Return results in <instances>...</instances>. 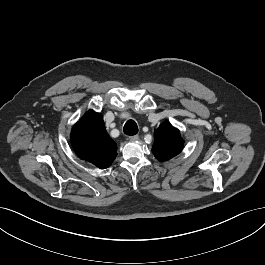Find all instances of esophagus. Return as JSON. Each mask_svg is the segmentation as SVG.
I'll return each mask as SVG.
<instances>
[{"label": "esophagus", "instance_id": "obj_1", "mask_svg": "<svg viewBox=\"0 0 265 265\" xmlns=\"http://www.w3.org/2000/svg\"><path fill=\"white\" fill-rule=\"evenodd\" d=\"M130 141H138L139 140V136L138 135H133L129 137Z\"/></svg>", "mask_w": 265, "mask_h": 265}]
</instances>
